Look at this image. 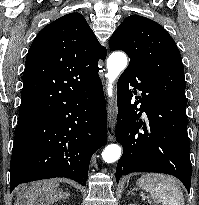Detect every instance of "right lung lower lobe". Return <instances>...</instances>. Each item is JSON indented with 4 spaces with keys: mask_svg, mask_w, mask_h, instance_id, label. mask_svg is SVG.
<instances>
[{
    "mask_svg": "<svg viewBox=\"0 0 199 205\" xmlns=\"http://www.w3.org/2000/svg\"><path fill=\"white\" fill-rule=\"evenodd\" d=\"M107 139L100 79L45 112L17 125L10 192L19 184L53 177L86 185L91 156Z\"/></svg>",
    "mask_w": 199,
    "mask_h": 205,
    "instance_id": "98d812e1",
    "label": "right lung lower lobe"
}]
</instances>
